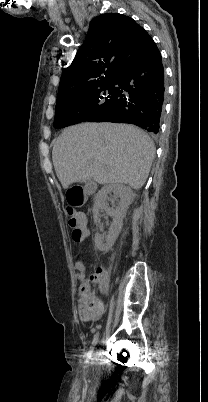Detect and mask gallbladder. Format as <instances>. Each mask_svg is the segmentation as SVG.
<instances>
[{
    "mask_svg": "<svg viewBox=\"0 0 208 402\" xmlns=\"http://www.w3.org/2000/svg\"><path fill=\"white\" fill-rule=\"evenodd\" d=\"M85 188L86 194L91 195L93 194L94 190H97L98 183L97 181H86Z\"/></svg>",
    "mask_w": 208,
    "mask_h": 402,
    "instance_id": "obj_1",
    "label": "gallbladder"
}]
</instances>
